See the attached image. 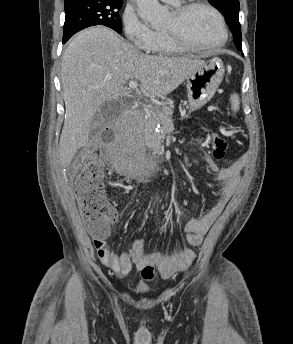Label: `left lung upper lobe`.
Masks as SVG:
<instances>
[{
	"mask_svg": "<svg viewBox=\"0 0 293 344\" xmlns=\"http://www.w3.org/2000/svg\"><path fill=\"white\" fill-rule=\"evenodd\" d=\"M226 18L237 49L242 51V35L239 23V0H209Z\"/></svg>",
	"mask_w": 293,
	"mask_h": 344,
	"instance_id": "obj_1",
	"label": "left lung upper lobe"
}]
</instances>
